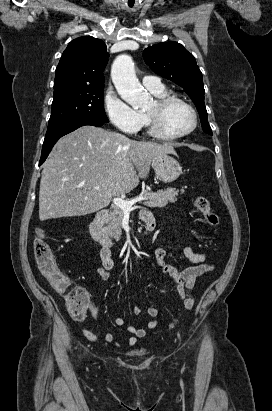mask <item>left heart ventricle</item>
<instances>
[{"instance_id": "1", "label": "left heart ventricle", "mask_w": 272, "mask_h": 411, "mask_svg": "<svg viewBox=\"0 0 272 411\" xmlns=\"http://www.w3.org/2000/svg\"><path fill=\"white\" fill-rule=\"evenodd\" d=\"M145 111L156 112L155 102L150 104ZM160 122L165 132L169 134H179L191 127L192 115L184 105L174 104L163 113Z\"/></svg>"}]
</instances>
